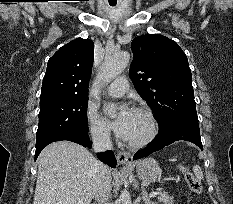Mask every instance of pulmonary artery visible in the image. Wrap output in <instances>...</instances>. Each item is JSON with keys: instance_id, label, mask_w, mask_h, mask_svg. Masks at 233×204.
<instances>
[{"instance_id": "e3ab8cb5", "label": "pulmonary artery", "mask_w": 233, "mask_h": 204, "mask_svg": "<svg viewBox=\"0 0 233 204\" xmlns=\"http://www.w3.org/2000/svg\"><path fill=\"white\" fill-rule=\"evenodd\" d=\"M128 88V80L125 77L120 76L108 86L107 92L111 96L121 97L128 91Z\"/></svg>"}]
</instances>
